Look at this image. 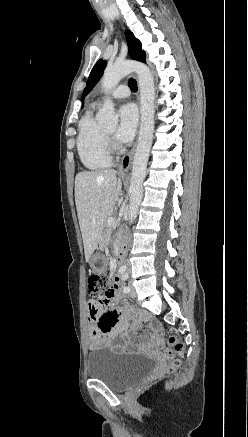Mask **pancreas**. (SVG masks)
<instances>
[{"label":"pancreas","instance_id":"obj_1","mask_svg":"<svg viewBox=\"0 0 248 437\" xmlns=\"http://www.w3.org/2000/svg\"><path fill=\"white\" fill-rule=\"evenodd\" d=\"M110 226L108 225V220L105 223V231L108 232L110 230Z\"/></svg>","mask_w":248,"mask_h":437}]
</instances>
